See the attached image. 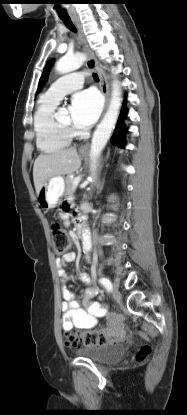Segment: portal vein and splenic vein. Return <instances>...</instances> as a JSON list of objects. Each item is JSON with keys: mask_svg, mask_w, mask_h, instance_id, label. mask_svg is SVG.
Returning a JSON list of instances; mask_svg holds the SVG:
<instances>
[{"mask_svg": "<svg viewBox=\"0 0 187 415\" xmlns=\"http://www.w3.org/2000/svg\"><path fill=\"white\" fill-rule=\"evenodd\" d=\"M81 179H82V176H77V177L74 179V181H73V188H74V189L78 186V184L80 183Z\"/></svg>", "mask_w": 187, "mask_h": 415, "instance_id": "portal-vein-and-splenic-vein-1", "label": "portal vein and splenic vein"}]
</instances>
